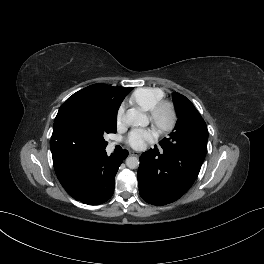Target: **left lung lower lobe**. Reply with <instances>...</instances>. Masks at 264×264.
<instances>
[{"instance_id":"obj_1","label":"left lung lower lobe","mask_w":264,"mask_h":264,"mask_svg":"<svg viewBox=\"0 0 264 264\" xmlns=\"http://www.w3.org/2000/svg\"><path fill=\"white\" fill-rule=\"evenodd\" d=\"M206 153L205 141L171 150L155 146L144 152L138 169L140 196L153 205L176 201L196 180Z\"/></svg>"}]
</instances>
